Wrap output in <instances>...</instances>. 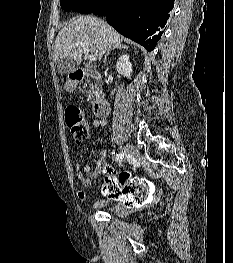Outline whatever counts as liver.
Listing matches in <instances>:
<instances>
[{"label":"liver","instance_id":"liver-1","mask_svg":"<svg viewBox=\"0 0 233 263\" xmlns=\"http://www.w3.org/2000/svg\"><path fill=\"white\" fill-rule=\"evenodd\" d=\"M119 41V33L105 21L92 16H81L59 31L55 41V60L66 59L67 71H73L82 59V48L75 46L77 43L85 42L88 51L101 59Z\"/></svg>","mask_w":233,"mask_h":263}]
</instances>
